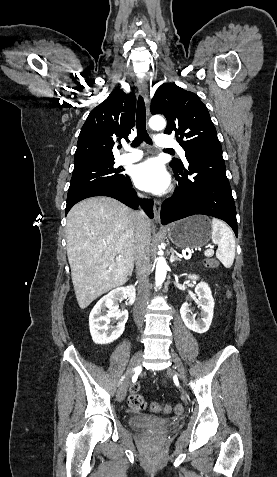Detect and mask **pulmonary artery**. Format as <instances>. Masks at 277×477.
<instances>
[{
    "label": "pulmonary artery",
    "instance_id": "obj_1",
    "mask_svg": "<svg viewBox=\"0 0 277 477\" xmlns=\"http://www.w3.org/2000/svg\"><path fill=\"white\" fill-rule=\"evenodd\" d=\"M156 143L159 147L165 149H176L179 155L185 158L184 149L173 139H170L167 135L160 134L156 138ZM143 156V153L137 149H131L127 153L122 154L118 161L121 164L133 163L140 160Z\"/></svg>",
    "mask_w": 277,
    "mask_h": 477
}]
</instances>
